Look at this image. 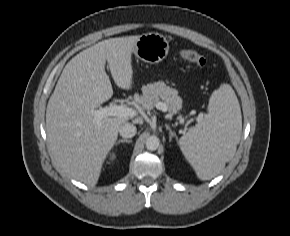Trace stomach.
Returning <instances> with one entry per match:
<instances>
[{"instance_id": "obj_1", "label": "stomach", "mask_w": 290, "mask_h": 236, "mask_svg": "<svg viewBox=\"0 0 290 236\" xmlns=\"http://www.w3.org/2000/svg\"><path fill=\"white\" fill-rule=\"evenodd\" d=\"M168 52L167 39L163 35L153 32L140 35L133 49V53L138 59L150 64L163 61Z\"/></svg>"}]
</instances>
